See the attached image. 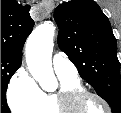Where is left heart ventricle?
<instances>
[{
  "instance_id": "obj_1",
  "label": "left heart ventricle",
  "mask_w": 121,
  "mask_h": 113,
  "mask_svg": "<svg viewBox=\"0 0 121 113\" xmlns=\"http://www.w3.org/2000/svg\"><path fill=\"white\" fill-rule=\"evenodd\" d=\"M81 109L87 110L90 113H105L104 106L95 98H87Z\"/></svg>"
}]
</instances>
